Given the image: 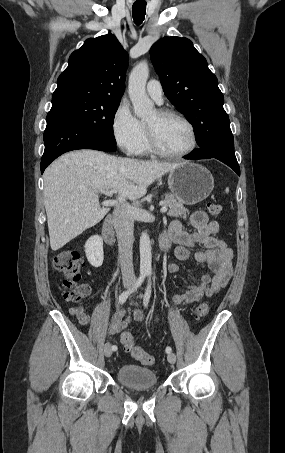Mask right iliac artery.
<instances>
[{
	"label": "right iliac artery",
	"instance_id": "obj_1",
	"mask_svg": "<svg viewBox=\"0 0 285 453\" xmlns=\"http://www.w3.org/2000/svg\"><path fill=\"white\" fill-rule=\"evenodd\" d=\"M145 277H146V273L142 272L139 276V278L137 279L136 283L134 284V286L127 290V291H124L123 293L120 294L119 296V303L120 304H124L127 300V298L130 296L131 293H133L138 287L141 286V284L144 282L145 280ZM117 347L115 345L112 346V350H116Z\"/></svg>",
	"mask_w": 285,
	"mask_h": 453
}]
</instances>
